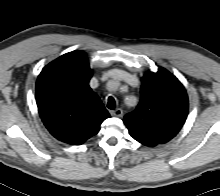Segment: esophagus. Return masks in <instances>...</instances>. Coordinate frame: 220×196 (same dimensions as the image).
Returning <instances> with one entry per match:
<instances>
[{
    "instance_id": "1",
    "label": "esophagus",
    "mask_w": 220,
    "mask_h": 196,
    "mask_svg": "<svg viewBox=\"0 0 220 196\" xmlns=\"http://www.w3.org/2000/svg\"><path fill=\"white\" fill-rule=\"evenodd\" d=\"M110 114L112 116H115V117H122L123 116V110L120 109V108H117V109L111 111Z\"/></svg>"
}]
</instances>
